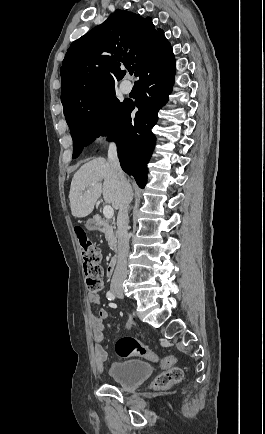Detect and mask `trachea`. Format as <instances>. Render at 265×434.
I'll return each mask as SVG.
<instances>
[{
    "instance_id": "obj_1",
    "label": "trachea",
    "mask_w": 265,
    "mask_h": 434,
    "mask_svg": "<svg viewBox=\"0 0 265 434\" xmlns=\"http://www.w3.org/2000/svg\"><path fill=\"white\" fill-rule=\"evenodd\" d=\"M129 72H130L131 75L133 74V70L132 69H129Z\"/></svg>"
}]
</instances>
